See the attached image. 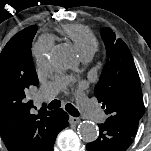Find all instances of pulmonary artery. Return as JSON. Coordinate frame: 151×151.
Here are the masks:
<instances>
[{"label":"pulmonary artery","instance_id":"e3ab8cb5","mask_svg":"<svg viewBox=\"0 0 151 151\" xmlns=\"http://www.w3.org/2000/svg\"><path fill=\"white\" fill-rule=\"evenodd\" d=\"M93 54H86L82 56L83 62H88L91 60ZM58 92V85L56 84H46L41 87L40 90V98L50 99ZM80 103L82 110L96 122H100L103 120L104 116L101 110L97 107L93 106L86 98L80 97Z\"/></svg>","mask_w":151,"mask_h":151}]
</instances>
